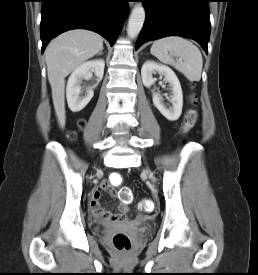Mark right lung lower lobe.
Returning <instances> with one entry per match:
<instances>
[{
	"mask_svg": "<svg viewBox=\"0 0 258 275\" xmlns=\"http://www.w3.org/2000/svg\"><path fill=\"white\" fill-rule=\"evenodd\" d=\"M42 53L51 39L70 29H89L112 46L129 11V0H41Z\"/></svg>",
	"mask_w": 258,
	"mask_h": 275,
	"instance_id": "obj_1",
	"label": "right lung lower lobe"
}]
</instances>
